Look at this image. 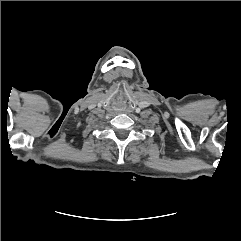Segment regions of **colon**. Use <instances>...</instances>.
<instances>
[{
  "label": "colon",
  "mask_w": 241,
  "mask_h": 241,
  "mask_svg": "<svg viewBox=\"0 0 241 241\" xmlns=\"http://www.w3.org/2000/svg\"><path fill=\"white\" fill-rule=\"evenodd\" d=\"M48 135H49L48 137H50V138L54 137V133L52 131H50Z\"/></svg>",
  "instance_id": "colon-1"
}]
</instances>
